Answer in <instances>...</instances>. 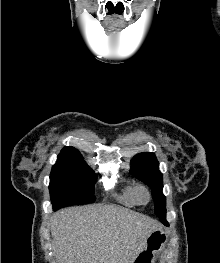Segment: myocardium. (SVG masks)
Listing matches in <instances>:
<instances>
[{
    "label": "myocardium",
    "instance_id": "f54148a6",
    "mask_svg": "<svg viewBox=\"0 0 220 263\" xmlns=\"http://www.w3.org/2000/svg\"><path fill=\"white\" fill-rule=\"evenodd\" d=\"M137 199L139 203L145 204L150 199V193L145 186L138 187Z\"/></svg>",
    "mask_w": 220,
    "mask_h": 263
}]
</instances>
